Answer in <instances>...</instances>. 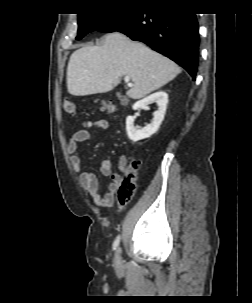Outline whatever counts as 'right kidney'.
I'll list each match as a JSON object with an SVG mask.
<instances>
[{
  "instance_id": "ca27d5eb",
  "label": "right kidney",
  "mask_w": 252,
  "mask_h": 303,
  "mask_svg": "<svg viewBox=\"0 0 252 303\" xmlns=\"http://www.w3.org/2000/svg\"><path fill=\"white\" fill-rule=\"evenodd\" d=\"M156 102L158 105V110L154 112V117L152 122L142 129H138L134 126L135 117L128 116L126 119V131L130 140L137 142L142 139L149 138L154 133H156L164 119V115L168 103V94L165 91H158L151 94L150 96L137 101L133 105V110L143 109L147 105Z\"/></svg>"
}]
</instances>
